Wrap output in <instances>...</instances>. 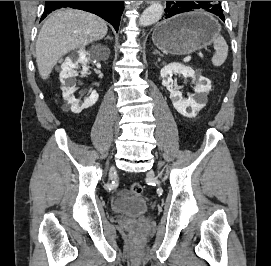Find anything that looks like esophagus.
Here are the masks:
<instances>
[{
  "instance_id": "esophagus-1",
  "label": "esophagus",
  "mask_w": 271,
  "mask_h": 266,
  "mask_svg": "<svg viewBox=\"0 0 271 266\" xmlns=\"http://www.w3.org/2000/svg\"><path fill=\"white\" fill-rule=\"evenodd\" d=\"M154 1H146V3H153Z\"/></svg>"
}]
</instances>
